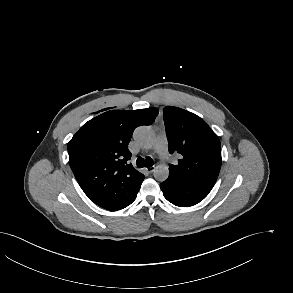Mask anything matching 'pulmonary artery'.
Instances as JSON below:
<instances>
[{
    "mask_svg": "<svg viewBox=\"0 0 293 293\" xmlns=\"http://www.w3.org/2000/svg\"><path fill=\"white\" fill-rule=\"evenodd\" d=\"M155 151L163 158H169L168 142L165 134H159L155 144Z\"/></svg>",
    "mask_w": 293,
    "mask_h": 293,
    "instance_id": "pulmonary-artery-1",
    "label": "pulmonary artery"
}]
</instances>
